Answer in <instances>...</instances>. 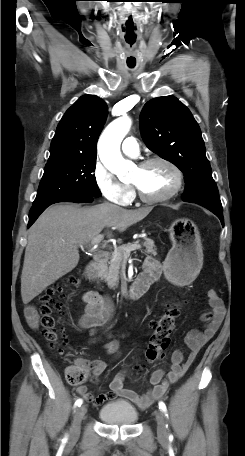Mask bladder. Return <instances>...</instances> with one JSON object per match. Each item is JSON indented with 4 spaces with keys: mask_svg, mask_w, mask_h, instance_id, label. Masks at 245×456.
<instances>
[{
    "mask_svg": "<svg viewBox=\"0 0 245 456\" xmlns=\"http://www.w3.org/2000/svg\"><path fill=\"white\" fill-rule=\"evenodd\" d=\"M100 419L110 425H134L139 414L134 406L122 400L105 404L99 411Z\"/></svg>",
    "mask_w": 245,
    "mask_h": 456,
    "instance_id": "31cf9c89",
    "label": "bladder"
}]
</instances>
